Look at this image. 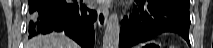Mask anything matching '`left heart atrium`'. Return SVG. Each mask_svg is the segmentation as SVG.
I'll use <instances>...</instances> for the list:
<instances>
[{
	"label": "left heart atrium",
	"mask_w": 213,
	"mask_h": 48,
	"mask_svg": "<svg viewBox=\"0 0 213 48\" xmlns=\"http://www.w3.org/2000/svg\"><path fill=\"white\" fill-rule=\"evenodd\" d=\"M98 3L104 7H107L110 5L111 1L110 0H101V1H98Z\"/></svg>",
	"instance_id": "1"
}]
</instances>
